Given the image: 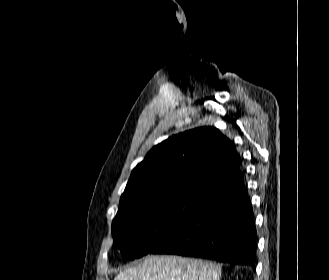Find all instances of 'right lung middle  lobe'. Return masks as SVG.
Wrapping results in <instances>:
<instances>
[{"instance_id":"dd1d6c3e","label":"right lung middle lobe","mask_w":329,"mask_h":280,"mask_svg":"<svg viewBox=\"0 0 329 280\" xmlns=\"http://www.w3.org/2000/svg\"><path fill=\"white\" fill-rule=\"evenodd\" d=\"M202 197L177 195L120 204L112 222L113 246L124 260L140 258L165 240L202 202Z\"/></svg>"}]
</instances>
